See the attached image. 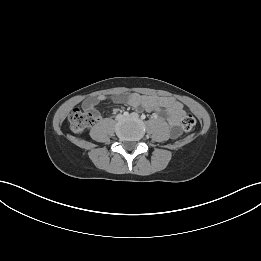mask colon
<instances>
[{"label": "colon", "instance_id": "1", "mask_svg": "<svg viewBox=\"0 0 261 261\" xmlns=\"http://www.w3.org/2000/svg\"><path fill=\"white\" fill-rule=\"evenodd\" d=\"M94 121L90 112L74 109L69 115V125L74 133H82ZM196 124V119L189 112H185L182 119V127L185 132H191Z\"/></svg>", "mask_w": 261, "mask_h": 261}]
</instances>
